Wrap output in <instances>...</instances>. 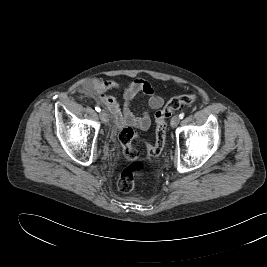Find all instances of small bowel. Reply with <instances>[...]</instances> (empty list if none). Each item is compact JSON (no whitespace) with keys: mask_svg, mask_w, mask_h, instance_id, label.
I'll return each mask as SVG.
<instances>
[{"mask_svg":"<svg viewBox=\"0 0 267 267\" xmlns=\"http://www.w3.org/2000/svg\"><path fill=\"white\" fill-rule=\"evenodd\" d=\"M84 92L95 97L99 103L106 107L114 117L119 128L132 126L141 130H147L151 125V116L148 111L140 115L135 114L131 109V103L140 93L148 98V107L157 110L162 107L164 99L157 94L154 86L147 80L134 79L123 91V105H119L116 97L109 94L111 91L119 90V84L112 80L94 78L83 86Z\"/></svg>","mask_w":267,"mask_h":267,"instance_id":"obj_1","label":"small bowel"}]
</instances>
